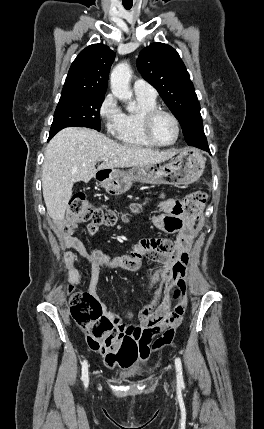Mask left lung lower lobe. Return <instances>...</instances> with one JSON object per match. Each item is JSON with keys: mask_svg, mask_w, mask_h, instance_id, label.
Listing matches in <instances>:
<instances>
[{"mask_svg": "<svg viewBox=\"0 0 264 429\" xmlns=\"http://www.w3.org/2000/svg\"><path fill=\"white\" fill-rule=\"evenodd\" d=\"M198 148L203 149V150H209L208 145H206V146H199Z\"/></svg>", "mask_w": 264, "mask_h": 429, "instance_id": "1", "label": "left lung lower lobe"}]
</instances>
